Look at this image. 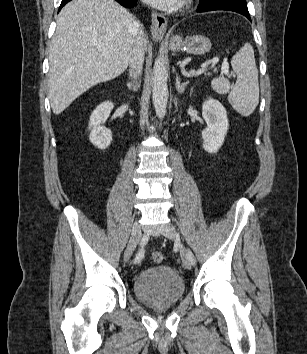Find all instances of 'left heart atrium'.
Segmentation results:
<instances>
[{
    "label": "left heart atrium",
    "mask_w": 307,
    "mask_h": 354,
    "mask_svg": "<svg viewBox=\"0 0 307 354\" xmlns=\"http://www.w3.org/2000/svg\"><path fill=\"white\" fill-rule=\"evenodd\" d=\"M144 1L160 9H173L179 6L183 0H144Z\"/></svg>",
    "instance_id": "left-heart-atrium-1"
}]
</instances>
